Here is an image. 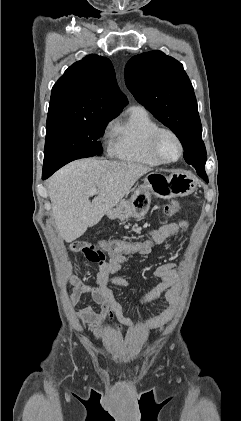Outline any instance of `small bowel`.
<instances>
[{"label": "small bowel", "mask_w": 241, "mask_h": 421, "mask_svg": "<svg viewBox=\"0 0 241 421\" xmlns=\"http://www.w3.org/2000/svg\"><path fill=\"white\" fill-rule=\"evenodd\" d=\"M189 226L187 220H180L161 226L156 230L149 231L145 240L154 241L157 244L163 243L169 237L178 234L181 230L187 229ZM150 252L144 254L148 255ZM125 255L110 256V259L99 265V271L96 275L95 285L82 282L76 277H70L68 283L73 287V292L69 300L71 306H75L83 295H90L92 300L101 307L99 313H94L90 306L85 307L77 313V319L87 326V330L95 339L100 338L102 332V323L106 320L112 321L117 319L116 329L121 330L122 327H133L135 321L133 318L126 316L124 308L119 301L116 300L110 285L116 287L122 292L129 293L130 288L128 282L120 277H114L126 263ZM173 263H165L157 267L155 276L161 281L152 290L138 298L139 301L149 302L158 299L164 294L168 306L162 308L156 314L145 318L143 327L146 329H159L167 324L174 313L175 306L180 291L178 275L174 271Z\"/></svg>", "instance_id": "obj_1"}]
</instances>
